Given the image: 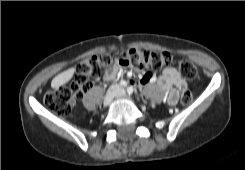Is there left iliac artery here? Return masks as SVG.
<instances>
[{
	"label": "left iliac artery",
	"mask_w": 245,
	"mask_h": 170,
	"mask_svg": "<svg viewBox=\"0 0 245 170\" xmlns=\"http://www.w3.org/2000/svg\"><path fill=\"white\" fill-rule=\"evenodd\" d=\"M127 92L129 95H131L133 93V87L132 86L128 87Z\"/></svg>",
	"instance_id": "left-iliac-artery-1"
}]
</instances>
